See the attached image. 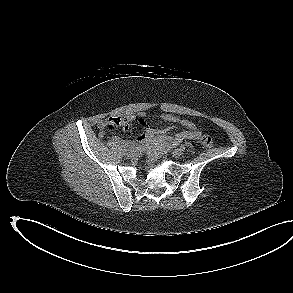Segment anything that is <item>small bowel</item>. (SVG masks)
Segmentation results:
<instances>
[{"mask_svg":"<svg viewBox=\"0 0 293 293\" xmlns=\"http://www.w3.org/2000/svg\"><path fill=\"white\" fill-rule=\"evenodd\" d=\"M159 117L168 123H180L185 128V130L174 135H169L167 134L166 130L150 128L144 120V114L125 117H111L99 121L97 127L100 130V135L102 136L104 134V130L107 129L111 124H113L115 127L120 126L124 130H128L132 122H137L140 124V126H142L144 132L137 137L136 142L149 148L160 147L167 143L171 144L172 146H177L185 140H201L202 133L192 121L187 119H180L179 117L168 113H163Z\"/></svg>","mask_w":293,"mask_h":293,"instance_id":"obj_1","label":"small bowel"}]
</instances>
